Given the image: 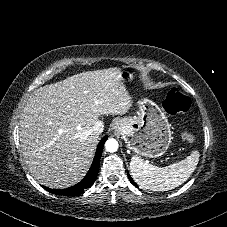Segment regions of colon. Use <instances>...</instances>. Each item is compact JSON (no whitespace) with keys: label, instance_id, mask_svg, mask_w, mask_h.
<instances>
[{"label":"colon","instance_id":"obj_1","mask_svg":"<svg viewBox=\"0 0 227 227\" xmlns=\"http://www.w3.org/2000/svg\"><path fill=\"white\" fill-rule=\"evenodd\" d=\"M164 106L169 114H185L190 106L189 99L183 95L178 89H171L165 97ZM183 140L191 142L194 140V135L188 131L184 130L181 133Z\"/></svg>","mask_w":227,"mask_h":227}]
</instances>
